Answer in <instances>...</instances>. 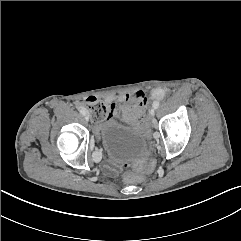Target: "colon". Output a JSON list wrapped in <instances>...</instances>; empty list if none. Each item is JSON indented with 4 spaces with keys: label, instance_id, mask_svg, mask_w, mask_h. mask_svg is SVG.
<instances>
[{
    "label": "colon",
    "instance_id": "colon-1",
    "mask_svg": "<svg viewBox=\"0 0 241 241\" xmlns=\"http://www.w3.org/2000/svg\"><path fill=\"white\" fill-rule=\"evenodd\" d=\"M82 106L96 121L108 118L112 111L111 105L92 96L84 99ZM152 167L153 165L149 160H140L135 164L133 172L126 173V179L130 182H140L143 180L144 174L150 172Z\"/></svg>",
    "mask_w": 241,
    "mask_h": 241
}]
</instances>
